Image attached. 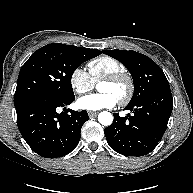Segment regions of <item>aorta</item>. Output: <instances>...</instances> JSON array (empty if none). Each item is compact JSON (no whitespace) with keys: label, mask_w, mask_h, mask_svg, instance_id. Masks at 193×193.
<instances>
[{"label":"aorta","mask_w":193,"mask_h":193,"mask_svg":"<svg viewBox=\"0 0 193 193\" xmlns=\"http://www.w3.org/2000/svg\"><path fill=\"white\" fill-rule=\"evenodd\" d=\"M98 121L104 126H109L113 122V115L108 111H103L98 115Z\"/></svg>","instance_id":"1"}]
</instances>
